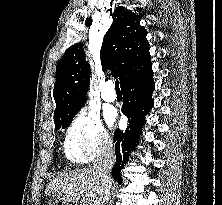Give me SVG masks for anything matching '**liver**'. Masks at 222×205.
<instances>
[{
    "label": "liver",
    "mask_w": 222,
    "mask_h": 205,
    "mask_svg": "<svg viewBox=\"0 0 222 205\" xmlns=\"http://www.w3.org/2000/svg\"><path fill=\"white\" fill-rule=\"evenodd\" d=\"M45 194L66 204L80 200L81 205H103L104 190L98 174L89 168L60 174L47 184Z\"/></svg>",
    "instance_id": "1"
}]
</instances>
